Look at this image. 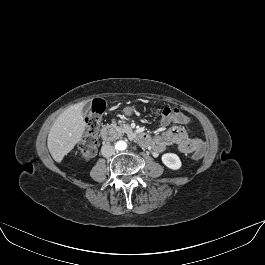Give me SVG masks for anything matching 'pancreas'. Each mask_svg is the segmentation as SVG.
<instances>
[{
    "label": "pancreas",
    "mask_w": 265,
    "mask_h": 265,
    "mask_svg": "<svg viewBox=\"0 0 265 265\" xmlns=\"http://www.w3.org/2000/svg\"><path fill=\"white\" fill-rule=\"evenodd\" d=\"M111 126L114 127L119 133L128 134L131 132V128L128 124L121 123L120 126H117L116 123H113Z\"/></svg>",
    "instance_id": "obj_1"
}]
</instances>
